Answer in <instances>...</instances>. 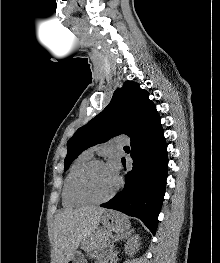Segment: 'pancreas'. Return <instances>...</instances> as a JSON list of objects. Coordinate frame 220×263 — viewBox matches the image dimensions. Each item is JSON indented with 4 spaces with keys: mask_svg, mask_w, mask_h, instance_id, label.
Masks as SVG:
<instances>
[{
    "mask_svg": "<svg viewBox=\"0 0 220 263\" xmlns=\"http://www.w3.org/2000/svg\"><path fill=\"white\" fill-rule=\"evenodd\" d=\"M109 233L99 229L82 242V248L85 250H100L105 247Z\"/></svg>",
    "mask_w": 220,
    "mask_h": 263,
    "instance_id": "obj_1",
    "label": "pancreas"
}]
</instances>
